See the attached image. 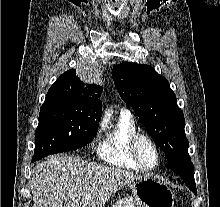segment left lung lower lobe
Listing matches in <instances>:
<instances>
[{
	"instance_id": "1",
	"label": "left lung lower lobe",
	"mask_w": 220,
	"mask_h": 207,
	"mask_svg": "<svg viewBox=\"0 0 220 207\" xmlns=\"http://www.w3.org/2000/svg\"><path fill=\"white\" fill-rule=\"evenodd\" d=\"M167 166L183 178L192 192L197 193L194 180V168L190 158L182 161H168Z\"/></svg>"
}]
</instances>
